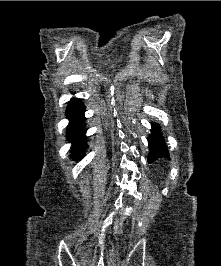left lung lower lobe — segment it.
<instances>
[{
    "instance_id": "0a47b994",
    "label": "left lung lower lobe",
    "mask_w": 221,
    "mask_h": 266,
    "mask_svg": "<svg viewBox=\"0 0 221 266\" xmlns=\"http://www.w3.org/2000/svg\"><path fill=\"white\" fill-rule=\"evenodd\" d=\"M148 143L150 151L148 155V163H151L157 158L161 157L169 158V153L161 132V128L156 123H152V129L151 134L149 135Z\"/></svg>"
}]
</instances>
